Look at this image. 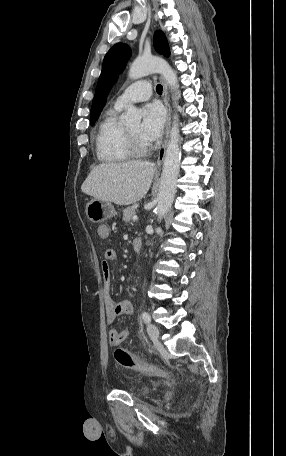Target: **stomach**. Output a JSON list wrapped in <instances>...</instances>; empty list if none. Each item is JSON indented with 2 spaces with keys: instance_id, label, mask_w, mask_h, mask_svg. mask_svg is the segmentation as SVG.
Instances as JSON below:
<instances>
[{
  "instance_id": "1",
  "label": "stomach",
  "mask_w": 286,
  "mask_h": 456,
  "mask_svg": "<svg viewBox=\"0 0 286 456\" xmlns=\"http://www.w3.org/2000/svg\"><path fill=\"white\" fill-rule=\"evenodd\" d=\"M86 216L93 223H101L115 216L114 206L107 201L92 199L86 206Z\"/></svg>"
}]
</instances>
